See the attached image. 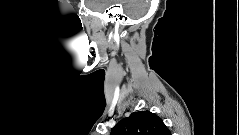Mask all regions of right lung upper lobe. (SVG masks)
Returning <instances> with one entry per match:
<instances>
[{
    "label": "right lung upper lobe",
    "mask_w": 239,
    "mask_h": 135,
    "mask_svg": "<svg viewBox=\"0 0 239 135\" xmlns=\"http://www.w3.org/2000/svg\"><path fill=\"white\" fill-rule=\"evenodd\" d=\"M111 135H170V131L154 113L138 111L120 120Z\"/></svg>",
    "instance_id": "cb5924a9"
}]
</instances>
